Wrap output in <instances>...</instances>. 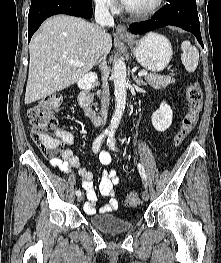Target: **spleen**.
<instances>
[{
    "instance_id": "1",
    "label": "spleen",
    "mask_w": 221,
    "mask_h": 263,
    "mask_svg": "<svg viewBox=\"0 0 221 263\" xmlns=\"http://www.w3.org/2000/svg\"><path fill=\"white\" fill-rule=\"evenodd\" d=\"M182 48V64L184 65L186 71L189 73L194 72L198 66L199 53L195 46H193L190 41H184L181 45Z\"/></svg>"
}]
</instances>
